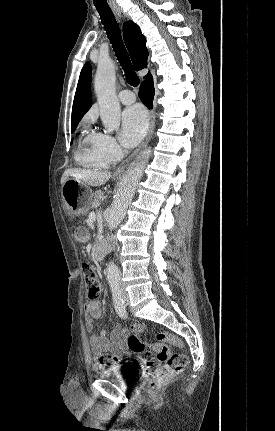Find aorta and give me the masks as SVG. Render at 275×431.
<instances>
[{
    "label": "aorta",
    "instance_id": "aorta-1",
    "mask_svg": "<svg viewBox=\"0 0 275 431\" xmlns=\"http://www.w3.org/2000/svg\"><path fill=\"white\" fill-rule=\"evenodd\" d=\"M94 87L102 123L106 132L112 133L120 126L121 107L116 97L115 68L111 60L101 61L99 63L95 75ZM150 155L151 150L148 148L131 163L125 172L111 205L108 219V227L110 230L117 228L125 217L127 207L132 201L136 187L144 173ZM106 274L110 284H115L120 281V270L114 262L108 263Z\"/></svg>",
    "mask_w": 275,
    "mask_h": 431
}]
</instances>
